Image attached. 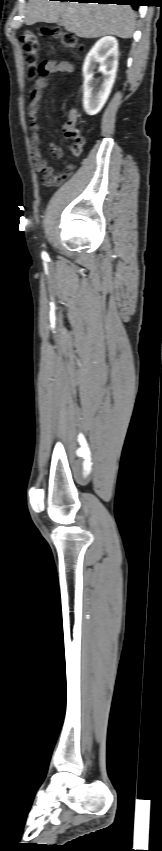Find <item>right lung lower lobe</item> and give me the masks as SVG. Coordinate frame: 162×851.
Listing matches in <instances>:
<instances>
[{"instance_id":"obj_1","label":"right lung lower lobe","mask_w":162,"mask_h":851,"mask_svg":"<svg viewBox=\"0 0 162 851\" xmlns=\"http://www.w3.org/2000/svg\"><path fill=\"white\" fill-rule=\"evenodd\" d=\"M60 1H78L99 4H118V5H136L139 6L140 0H60Z\"/></svg>"}]
</instances>
